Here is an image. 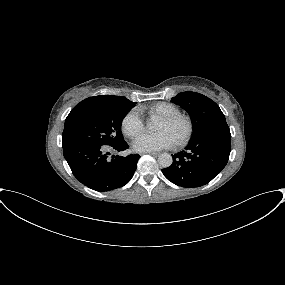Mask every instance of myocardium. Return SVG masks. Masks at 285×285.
Masks as SVG:
<instances>
[{"label":"myocardium","instance_id":"obj_1","mask_svg":"<svg viewBox=\"0 0 285 285\" xmlns=\"http://www.w3.org/2000/svg\"><path fill=\"white\" fill-rule=\"evenodd\" d=\"M159 120L168 125L176 123H181L183 125L184 131L182 135L174 142L176 147H183L191 140L195 131V123L189 115L178 113L170 116L161 117L159 118Z\"/></svg>","mask_w":285,"mask_h":285}]
</instances>
